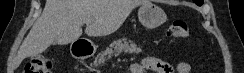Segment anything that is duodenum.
I'll return each instance as SVG.
<instances>
[{"mask_svg": "<svg viewBox=\"0 0 244 73\" xmlns=\"http://www.w3.org/2000/svg\"><path fill=\"white\" fill-rule=\"evenodd\" d=\"M93 49L90 45L83 42H75L72 46V54L76 59L84 60L90 57Z\"/></svg>", "mask_w": 244, "mask_h": 73, "instance_id": "1", "label": "duodenum"}]
</instances>
